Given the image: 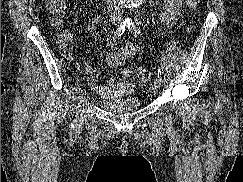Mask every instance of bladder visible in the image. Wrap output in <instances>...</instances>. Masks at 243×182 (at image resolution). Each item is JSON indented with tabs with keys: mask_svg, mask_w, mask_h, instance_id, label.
<instances>
[{
	"mask_svg": "<svg viewBox=\"0 0 243 182\" xmlns=\"http://www.w3.org/2000/svg\"><path fill=\"white\" fill-rule=\"evenodd\" d=\"M100 104L102 109L106 112L126 114L138 111L142 103L138 96L130 95L115 101L103 99Z\"/></svg>",
	"mask_w": 243,
	"mask_h": 182,
	"instance_id": "bladder-1",
	"label": "bladder"
}]
</instances>
